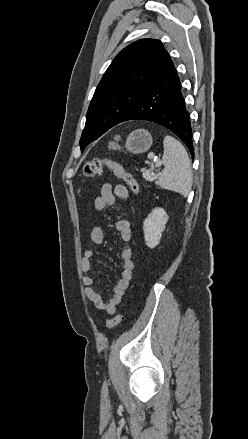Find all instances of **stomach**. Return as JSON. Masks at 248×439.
Listing matches in <instances>:
<instances>
[{"instance_id":"0dacf381","label":"stomach","mask_w":248,"mask_h":439,"mask_svg":"<svg viewBox=\"0 0 248 439\" xmlns=\"http://www.w3.org/2000/svg\"><path fill=\"white\" fill-rule=\"evenodd\" d=\"M153 139L151 134L145 129H138L129 134L125 148L133 153H144L152 146Z\"/></svg>"}]
</instances>
